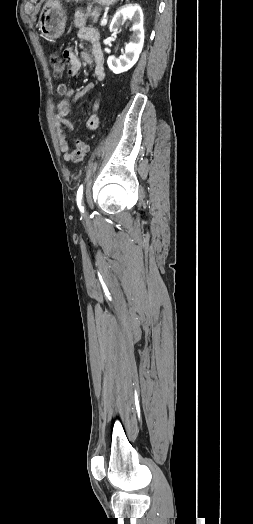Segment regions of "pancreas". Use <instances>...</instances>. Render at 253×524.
Returning <instances> with one entry per match:
<instances>
[{
    "label": "pancreas",
    "mask_w": 253,
    "mask_h": 524,
    "mask_svg": "<svg viewBox=\"0 0 253 524\" xmlns=\"http://www.w3.org/2000/svg\"><path fill=\"white\" fill-rule=\"evenodd\" d=\"M100 12H101V8L99 7L92 8L91 5H88L86 13L83 14L82 10H78L76 12V17H81V16H84L85 18L91 17L93 19V23H95L97 22L99 18Z\"/></svg>",
    "instance_id": "1"
}]
</instances>
